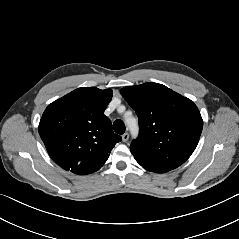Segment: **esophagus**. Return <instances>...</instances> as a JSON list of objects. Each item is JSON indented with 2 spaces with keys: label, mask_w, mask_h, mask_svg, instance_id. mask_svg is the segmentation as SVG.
<instances>
[{
  "label": "esophagus",
  "mask_w": 239,
  "mask_h": 239,
  "mask_svg": "<svg viewBox=\"0 0 239 239\" xmlns=\"http://www.w3.org/2000/svg\"><path fill=\"white\" fill-rule=\"evenodd\" d=\"M128 139H129V134H128V133H124V134L122 135V141H123V142H127Z\"/></svg>",
  "instance_id": "esophagus-1"
}]
</instances>
